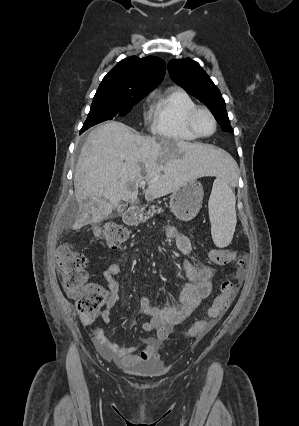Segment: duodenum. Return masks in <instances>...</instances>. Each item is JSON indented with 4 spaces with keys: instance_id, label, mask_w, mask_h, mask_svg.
<instances>
[{
    "instance_id": "1",
    "label": "duodenum",
    "mask_w": 299,
    "mask_h": 426,
    "mask_svg": "<svg viewBox=\"0 0 299 426\" xmlns=\"http://www.w3.org/2000/svg\"><path fill=\"white\" fill-rule=\"evenodd\" d=\"M137 215H138L137 209L132 207V208H130L126 211V213L124 215V219L127 223L131 224V223H134L136 221Z\"/></svg>"
}]
</instances>
